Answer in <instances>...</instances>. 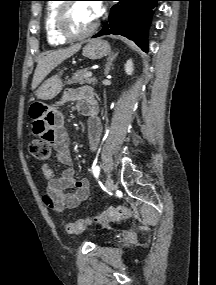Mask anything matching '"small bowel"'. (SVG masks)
I'll return each mask as SVG.
<instances>
[{"instance_id": "small-bowel-1", "label": "small bowel", "mask_w": 216, "mask_h": 285, "mask_svg": "<svg viewBox=\"0 0 216 285\" xmlns=\"http://www.w3.org/2000/svg\"><path fill=\"white\" fill-rule=\"evenodd\" d=\"M63 101L75 102L78 111L89 117V140L92 148L96 149L101 138V124L91 113L92 109H96L93 91L87 87L70 89L65 92ZM30 116L32 119L31 133H34V136H41V141H48V144L55 149L58 162L65 166L59 175L48 164L42 167L43 176L47 180L43 201L49 209L55 212L76 208L89 197L90 182L86 178L77 179L75 177L72 168L70 138L65 127L64 116L55 108L42 102L31 106Z\"/></svg>"}]
</instances>
